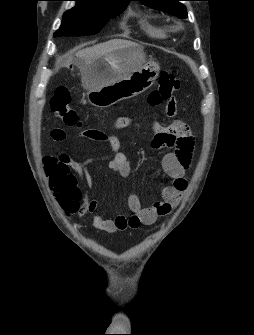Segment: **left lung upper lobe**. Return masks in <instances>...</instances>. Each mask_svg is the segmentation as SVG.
<instances>
[{"mask_svg":"<svg viewBox=\"0 0 254 335\" xmlns=\"http://www.w3.org/2000/svg\"><path fill=\"white\" fill-rule=\"evenodd\" d=\"M141 1L144 5L152 8L159 9L166 13H171L178 18H187L186 7L179 1L182 0H137Z\"/></svg>","mask_w":254,"mask_h":335,"instance_id":"obj_1","label":"left lung upper lobe"}]
</instances>
